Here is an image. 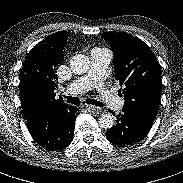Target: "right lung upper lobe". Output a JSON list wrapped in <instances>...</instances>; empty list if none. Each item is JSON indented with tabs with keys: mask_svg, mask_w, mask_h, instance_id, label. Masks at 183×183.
Instances as JSON below:
<instances>
[{
	"mask_svg": "<svg viewBox=\"0 0 183 183\" xmlns=\"http://www.w3.org/2000/svg\"><path fill=\"white\" fill-rule=\"evenodd\" d=\"M68 32L59 31L39 42L26 56L20 70V99L24 117L40 108H68L55 98L56 66L63 61Z\"/></svg>",
	"mask_w": 183,
	"mask_h": 183,
	"instance_id": "obj_1",
	"label": "right lung upper lobe"
}]
</instances>
